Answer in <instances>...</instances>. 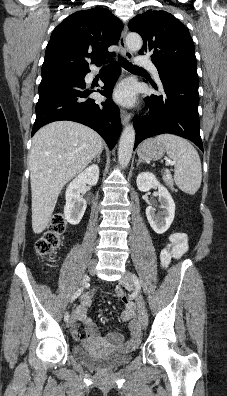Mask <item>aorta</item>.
I'll return each instance as SVG.
<instances>
[{
    "mask_svg": "<svg viewBox=\"0 0 227 396\" xmlns=\"http://www.w3.org/2000/svg\"><path fill=\"white\" fill-rule=\"evenodd\" d=\"M143 41L139 34L129 33L126 37V45L131 51H139ZM135 142V129L132 125H127L120 137L118 147V161L122 167H126L131 159Z\"/></svg>",
    "mask_w": 227,
    "mask_h": 396,
    "instance_id": "762f6f07",
    "label": "aorta"
}]
</instances>
